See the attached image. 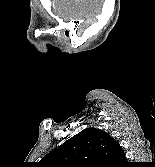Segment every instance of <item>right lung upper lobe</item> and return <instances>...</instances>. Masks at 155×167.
Wrapping results in <instances>:
<instances>
[{
    "label": "right lung upper lobe",
    "mask_w": 155,
    "mask_h": 167,
    "mask_svg": "<svg viewBox=\"0 0 155 167\" xmlns=\"http://www.w3.org/2000/svg\"><path fill=\"white\" fill-rule=\"evenodd\" d=\"M46 160L49 167H113L124 154L108 133L87 128L47 154Z\"/></svg>",
    "instance_id": "obj_1"
}]
</instances>
